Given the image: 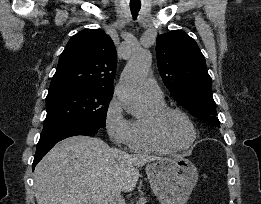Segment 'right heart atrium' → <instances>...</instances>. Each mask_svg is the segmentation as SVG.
Listing matches in <instances>:
<instances>
[{"label": "right heart atrium", "instance_id": "d8ad5b80", "mask_svg": "<svg viewBox=\"0 0 261 204\" xmlns=\"http://www.w3.org/2000/svg\"><path fill=\"white\" fill-rule=\"evenodd\" d=\"M104 125L112 143L117 146H129L131 120L125 116L123 106L116 97H112L107 105Z\"/></svg>", "mask_w": 261, "mask_h": 204}]
</instances>
